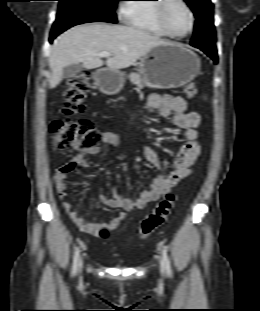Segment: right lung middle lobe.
Segmentation results:
<instances>
[{
  "label": "right lung middle lobe",
  "mask_w": 260,
  "mask_h": 311,
  "mask_svg": "<svg viewBox=\"0 0 260 311\" xmlns=\"http://www.w3.org/2000/svg\"><path fill=\"white\" fill-rule=\"evenodd\" d=\"M59 8L54 24L64 22H110L117 23L114 13L120 0H58Z\"/></svg>",
  "instance_id": "1"
}]
</instances>
